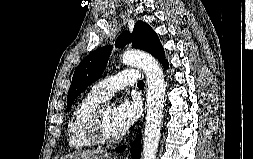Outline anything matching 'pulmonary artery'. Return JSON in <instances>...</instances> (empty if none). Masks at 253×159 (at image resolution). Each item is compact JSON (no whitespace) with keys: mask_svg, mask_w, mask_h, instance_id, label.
I'll return each mask as SVG.
<instances>
[{"mask_svg":"<svg viewBox=\"0 0 253 159\" xmlns=\"http://www.w3.org/2000/svg\"><path fill=\"white\" fill-rule=\"evenodd\" d=\"M141 75L137 70L126 69L116 75L109 77L93 85L91 92L107 100L115 92L125 88L126 86L137 85Z\"/></svg>","mask_w":253,"mask_h":159,"instance_id":"e3ab8cb5","label":"pulmonary artery"}]
</instances>
